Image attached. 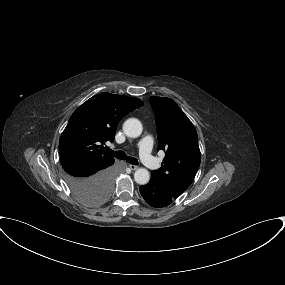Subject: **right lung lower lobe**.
Segmentation results:
<instances>
[{
	"instance_id": "1",
	"label": "right lung lower lobe",
	"mask_w": 285,
	"mask_h": 285,
	"mask_svg": "<svg viewBox=\"0 0 285 285\" xmlns=\"http://www.w3.org/2000/svg\"><path fill=\"white\" fill-rule=\"evenodd\" d=\"M115 162V161H114ZM114 162L102 164L81 163L64 169L71 190L86 186L111 187L115 176Z\"/></svg>"
}]
</instances>
